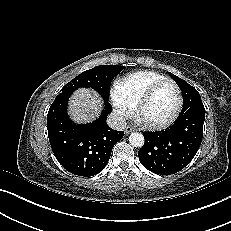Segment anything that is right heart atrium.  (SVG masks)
I'll list each match as a JSON object with an SVG mask.
<instances>
[{
    "label": "right heart atrium",
    "mask_w": 231,
    "mask_h": 231,
    "mask_svg": "<svg viewBox=\"0 0 231 231\" xmlns=\"http://www.w3.org/2000/svg\"><path fill=\"white\" fill-rule=\"evenodd\" d=\"M112 100L117 118L119 120H125L126 118H128L130 114V108L118 99L115 91L112 94Z\"/></svg>",
    "instance_id": "d8ad5b80"
}]
</instances>
